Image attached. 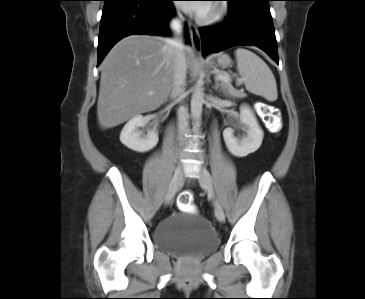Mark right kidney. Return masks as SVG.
<instances>
[{
    "label": "right kidney",
    "instance_id": "1",
    "mask_svg": "<svg viewBox=\"0 0 365 299\" xmlns=\"http://www.w3.org/2000/svg\"><path fill=\"white\" fill-rule=\"evenodd\" d=\"M150 117L137 115L129 120L120 134V141L126 147L136 152H147L153 149L158 143V133L154 130L147 135H142L139 127L148 123Z\"/></svg>",
    "mask_w": 365,
    "mask_h": 299
}]
</instances>
